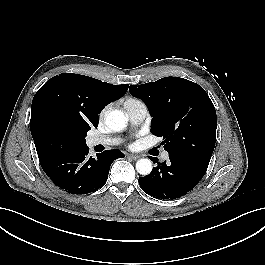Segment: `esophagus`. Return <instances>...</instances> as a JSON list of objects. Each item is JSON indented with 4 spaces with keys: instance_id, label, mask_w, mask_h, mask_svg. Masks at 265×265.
<instances>
[{
    "instance_id": "1",
    "label": "esophagus",
    "mask_w": 265,
    "mask_h": 265,
    "mask_svg": "<svg viewBox=\"0 0 265 265\" xmlns=\"http://www.w3.org/2000/svg\"><path fill=\"white\" fill-rule=\"evenodd\" d=\"M128 157L133 159V160H137L139 158V156L135 155V154H128Z\"/></svg>"
}]
</instances>
